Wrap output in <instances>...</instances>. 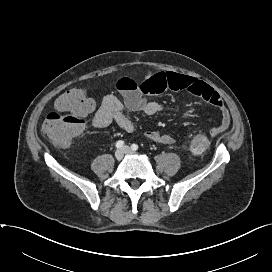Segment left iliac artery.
<instances>
[{
    "label": "left iliac artery",
    "mask_w": 272,
    "mask_h": 272,
    "mask_svg": "<svg viewBox=\"0 0 272 272\" xmlns=\"http://www.w3.org/2000/svg\"><path fill=\"white\" fill-rule=\"evenodd\" d=\"M131 149L136 151L138 149V145L137 144H132Z\"/></svg>",
    "instance_id": "left-iliac-artery-1"
}]
</instances>
